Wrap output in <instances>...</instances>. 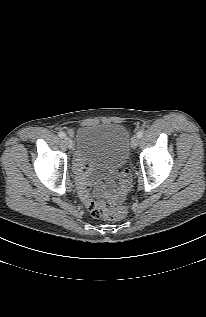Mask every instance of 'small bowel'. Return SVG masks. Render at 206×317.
<instances>
[{
    "label": "small bowel",
    "instance_id": "obj_1",
    "mask_svg": "<svg viewBox=\"0 0 206 317\" xmlns=\"http://www.w3.org/2000/svg\"><path fill=\"white\" fill-rule=\"evenodd\" d=\"M90 166L89 165H83L81 160L78 159L76 161V173H77V180H78V187L81 199L83 200L84 204L87 206L91 194H90V182L88 181V175L90 173ZM121 186L120 189L115 193V196L118 198H121L125 192L128 189L129 186V175L125 171L121 175ZM110 191L114 192L113 187H110Z\"/></svg>",
    "mask_w": 206,
    "mask_h": 317
}]
</instances>
